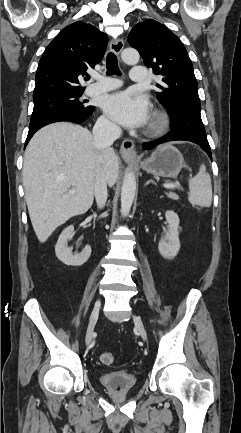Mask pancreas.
<instances>
[{"instance_id": "1", "label": "pancreas", "mask_w": 241, "mask_h": 433, "mask_svg": "<svg viewBox=\"0 0 241 433\" xmlns=\"http://www.w3.org/2000/svg\"><path fill=\"white\" fill-rule=\"evenodd\" d=\"M167 196L169 197V198H171L172 200H178L179 199V197H178V195L177 194H175V193H173V192H169V193H167Z\"/></svg>"}]
</instances>
